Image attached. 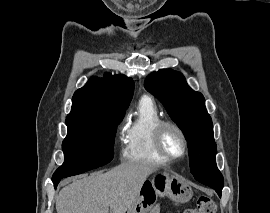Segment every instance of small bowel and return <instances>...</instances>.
<instances>
[{"label":"small bowel","mask_w":270,"mask_h":213,"mask_svg":"<svg viewBox=\"0 0 270 213\" xmlns=\"http://www.w3.org/2000/svg\"><path fill=\"white\" fill-rule=\"evenodd\" d=\"M161 206L160 204H157L156 206L153 207L150 213H160Z\"/></svg>","instance_id":"small-bowel-1"}]
</instances>
